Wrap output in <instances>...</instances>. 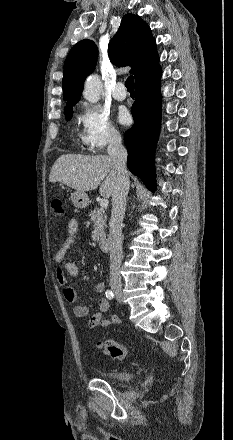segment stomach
I'll return each mask as SVG.
<instances>
[{
	"label": "stomach",
	"mask_w": 233,
	"mask_h": 440,
	"mask_svg": "<svg viewBox=\"0 0 233 440\" xmlns=\"http://www.w3.org/2000/svg\"><path fill=\"white\" fill-rule=\"evenodd\" d=\"M71 201L76 208H85L89 204L88 195L85 192L74 191L71 193Z\"/></svg>",
	"instance_id": "0dacf381"
}]
</instances>
